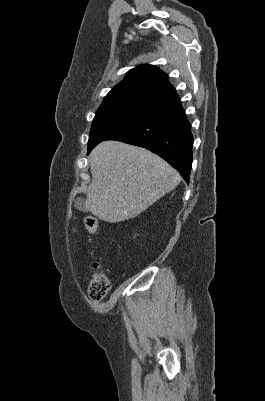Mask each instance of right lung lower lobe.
<instances>
[{
    "instance_id": "98d812e1",
    "label": "right lung lower lobe",
    "mask_w": 265,
    "mask_h": 401,
    "mask_svg": "<svg viewBox=\"0 0 265 401\" xmlns=\"http://www.w3.org/2000/svg\"><path fill=\"white\" fill-rule=\"evenodd\" d=\"M106 140L121 141L154 152L179 171L189 183L193 137L191 124L179 100L119 129Z\"/></svg>"
}]
</instances>
